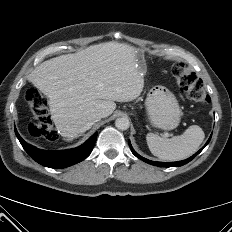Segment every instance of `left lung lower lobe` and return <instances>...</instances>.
Wrapping results in <instances>:
<instances>
[{
  "mask_svg": "<svg viewBox=\"0 0 232 232\" xmlns=\"http://www.w3.org/2000/svg\"><path fill=\"white\" fill-rule=\"evenodd\" d=\"M211 137L209 138V140L207 141V143L204 145V147L209 143ZM129 146L132 150V153L139 159H141L142 161L146 162V163H149L151 165H155V166H159V167H178V166H182L188 162H190L196 155H198L203 149H200L196 154H194L193 156H191L190 158L186 159V160H183V161H179V162H155V161H151V160H148L146 158H143L142 156L138 155L131 147V144L129 142Z\"/></svg>",
  "mask_w": 232,
  "mask_h": 232,
  "instance_id": "0a47b994",
  "label": "left lung lower lobe"
}]
</instances>
